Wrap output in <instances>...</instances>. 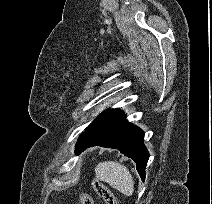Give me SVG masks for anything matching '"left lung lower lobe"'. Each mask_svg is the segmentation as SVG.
<instances>
[{"label": "left lung lower lobe", "mask_w": 212, "mask_h": 204, "mask_svg": "<svg viewBox=\"0 0 212 204\" xmlns=\"http://www.w3.org/2000/svg\"><path fill=\"white\" fill-rule=\"evenodd\" d=\"M143 141L144 132L129 123L119 109H114L80 135L76 153L80 154L92 146L118 149L135 161L138 173L144 181L149 153Z\"/></svg>", "instance_id": "obj_1"}]
</instances>
